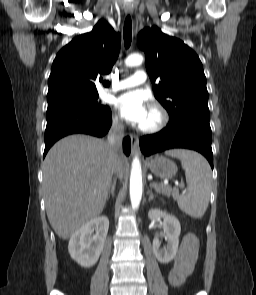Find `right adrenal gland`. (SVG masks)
<instances>
[{
  "label": "right adrenal gland",
  "mask_w": 256,
  "mask_h": 295,
  "mask_svg": "<svg viewBox=\"0 0 256 295\" xmlns=\"http://www.w3.org/2000/svg\"><path fill=\"white\" fill-rule=\"evenodd\" d=\"M115 186H116V179L113 180V183L111 185L110 191H109L108 196H107V200L109 199L111 194L112 195L115 194Z\"/></svg>",
  "instance_id": "right-adrenal-gland-1"
}]
</instances>
